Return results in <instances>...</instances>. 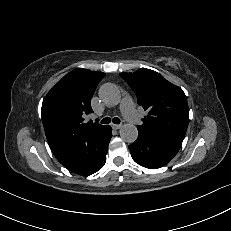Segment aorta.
I'll return each mask as SVG.
<instances>
[{
	"label": "aorta",
	"mask_w": 231,
	"mask_h": 231,
	"mask_svg": "<svg viewBox=\"0 0 231 231\" xmlns=\"http://www.w3.org/2000/svg\"><path fill=\"white\" fill-rule=\"evenodd\" d=\"M99 97L107 106H115L120 102V91L113 83H105L99 89ZM120 137L127 143H133L138 137L137 127L124 124L120 128Z\"/></svg>",
	"instance_id": "aorta-1"
}]
</instances>
